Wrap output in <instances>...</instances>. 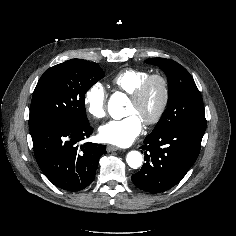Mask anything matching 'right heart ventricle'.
<instances>
[{
  "label": "right heart ventricle",
  "instance_id": "obj_1",
  "mask_svg": "<svg viewBox=\"0 0 236 236\" xmlns=\"http://www.w3.org/2000/svg\"><path fill=\"white\" fill-rule=\"evenodd\" d=\"M149 75L146 69L126 68L117 73L111 83L117 90L131 95Z\"/></svg>",
  "mask_w": 236,
  "mask_h": 236
}]
</instances>
